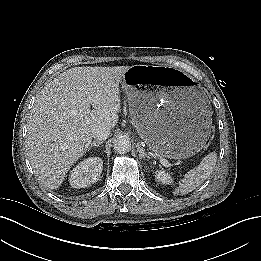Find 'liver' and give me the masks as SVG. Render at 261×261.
Returning a JSON list of instances; mask_svg holds the SVG:
<instances>
[{
    "label": "liver",
    "instance_id": "obj_1",
    "mask_svg": "<svg viewBox=\"0 0 261 261\" xmlns=\"http://www.w3.org/2000/svg\"><path fill=\"white\" fill-rule=\"evenodd\" d=\"M130 66L73 67L49 81L36 96L27 125V153L38 180L57 189L88 150L93 129L114 128L120 90Z\"/></svg>",
    "mask_w": 261,
    "mask_h": 261
}]
</instances>
